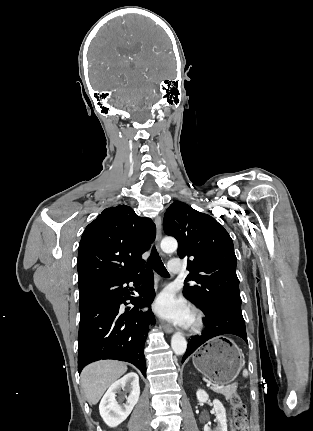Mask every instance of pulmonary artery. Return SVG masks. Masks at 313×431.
I'll list each match as a JSON object with an SVG mask.
<instances>
[{
  "instance_id": "e3ab8cb5",
  "label": "pulmonary artery",
  "mask_w": 313,
  "mask_h": 431,
  "mask_svg": "<svg viewBox=\"0 0 313 431\" xmlns=\"http://www.w3.org/2000/svg\"><path fill=\"white\" fill-rule=\"evenodd\" d=\"M168 270L172 274H177L181 271V263L179 259H172L168 262Z\"/></svg>"
}]
</instances>
